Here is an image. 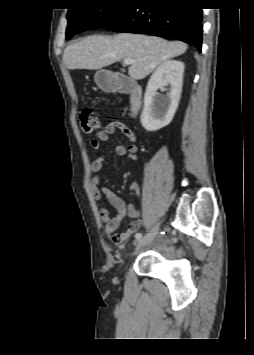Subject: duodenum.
I'll list each match as a JSON object with an SVG mask.
<instances>
[{
	"label": "duodenum",
	"mask_w": 254,
	"mask_h": 355,
	"mask_svg": "<svg viewBox=\"0 0 254 355\" xmlns=\"http://www.w3.org/2000/svg\"><path fill=\"white\" fill-rule=\"evenodd\" d=\"M102 87L109 91L128 93L130 96V116L133 117L137 114L142 104L143 91L141 86L135 84L129 78L119 75L105 80Z\"/></svg>",
	"instance_id": "duodenum-1"
}]
</instances>
